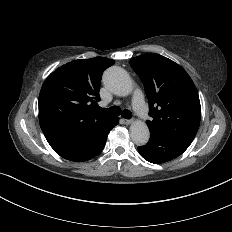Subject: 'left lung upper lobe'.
Returning <instances> with one entry per match:
<instances>
[{
	"label": "left lung upper lobe",
	"mask_w": 232,
	"mask_h": 232,
	"mask_svg": "<svg viewBox=\"0 0 232 232\" xmlns=\"http://www.w3.org/2000/svg\"><path fill=\"white\" fill-rule=\"evenodd\" d=\"M130 65L148 98L150 132L188 147L201 118L199 96L190 76L174 61L154 53L134 57Z\"/></svg>",
	"instance_id": "1"
}]
</instances>
